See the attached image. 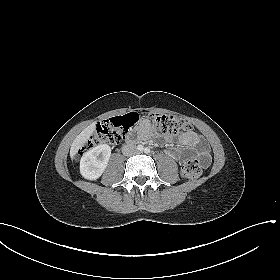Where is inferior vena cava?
Here are the masks:
<instances>
[{
  "mask_svg": "<svg viewBox=\"0 0 280 280\" xmlns=\"http://www.w3.org/2000/svg\"><path fill=\"white\" fill-rule=\"evenodd\" d=\"M122 153L125 156H130L137 153V148L134 145L127 144L122 147Z\"/></svg>",
  "mask_w": 280,
  "mask_h": 280,
  "instance_id": "obj_1",
  "label": "inferior vena cava"
}]
</instances>
